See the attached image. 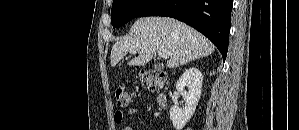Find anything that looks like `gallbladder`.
Instances as JSON below:
<instances>
[{"mask_svg":"<svg viewBox=\"0 0 299 130\" xmlns=\"http://www.w3.org/2000/svg\"><path fill=\"white\" fill-rule=\"evenodd\" d=\"M155 68H160V66H159V65H156Z\"/></svg>","mask_w":299,"mask_h":130,"instance_id":"bac80fb5","label":"gallbladder"}]
</instances>
